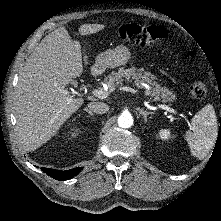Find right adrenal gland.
Returning <instances> with one entry per match:
<instances>
[{
  "label": "right adrenal gland",
  "mask_w": 221,
  "mask_h": 221,
  "mask_svg": "<svg viewBox=\"0 0 221 221\" xmlns=\"http://www.w3.org/2000/svg\"><path fill=\"white\" fill-rule=\"evenodd\" d=\"M83 110L86 111L90 116H94V114L88 108H84Z\"/></svg>",
  "instance_id": "1"
}]
</instances>
